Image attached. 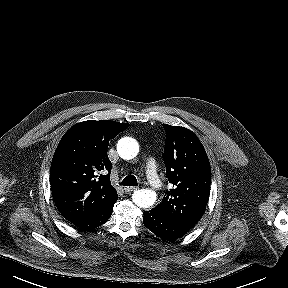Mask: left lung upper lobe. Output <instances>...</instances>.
<instances>
[{"instance_id": "1", "label": "left lung upper lobe", "mask_w": 288, "mask_h": 288, "mask_svg": "<svg viewBox=\"0 0 288 288\" xmlns=\"http://www.w3.org/2000/svg\"><path fill=\"white\" fill-rule=\"evenodd\" d=\"M164 163L174 188L154 209L169 219L193 227L205 212L210 194L211 168L202 143L184 127L163 124Z\"/></svg>"}]
</instances>
